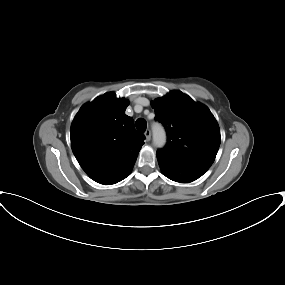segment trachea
<instances>
[{
  "label": "trachea",
  "instance_id": "3493384b",
  "mask_svg": "<svg viewBox=\"0 0 285 285\" xmlns=\"http://www.w3.org/2000/svg\"><path fill=\"white\" fill-rule=\"evenodd\" d=\"M135 126L139 132H144L147 128V122L144 119L139 118L136 120Z\"/></svg>",
  "mask_w": 285,
  "mask_h": 285
}]
</instances>
